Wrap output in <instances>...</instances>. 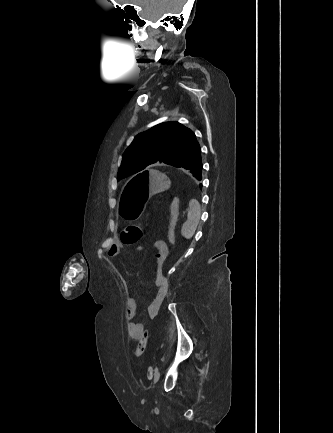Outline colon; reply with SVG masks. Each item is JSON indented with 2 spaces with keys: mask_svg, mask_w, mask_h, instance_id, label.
<instances>
[{
  "mask_svg": "<svg viewBox=\"0 0 333 433\" xmlns=\"http://www.w3.org/2000/svg\"><path fill=\"white\" fill-rule=\"evenodd\" d=\"M178 221V211H177V200L173 199L171 201V218L169 225V240L171 243L175 240V226ZM142 237V232L140 228L136 225H128L121 230L120 239L121 242L126 246H133L137 244ZM148 342V332L145 331L139 339L135 354L140 356L144 353Z\"/></svg>",
  "mask_w": 333,
  "mask_h": 433,
  "instance_id": "1",
  "label": "colon"
}]
</instances>
